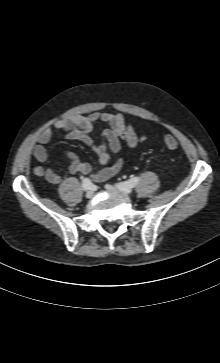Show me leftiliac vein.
Instances as JSON below:
<instances>
[{
	"label": "left iliac vein",
	"mask_w": 220,
	"mask_h": 363,
	"mask_svg": "<svg viewBox=\"0 0 220 363\" xmlns=\"http://www.w3.org/2000/svg\"><path fill=\"white\" fill-rule=\"evenodd\" d=\"M106 189L112 190V191H118V192H120V193H122L124 195H128L131 192V191L127 192V191L121 190L120 188L118 189V188L112 187L110 185H106Z\"/></svg>",
	"instance_id": "1"
}]
</instances>
